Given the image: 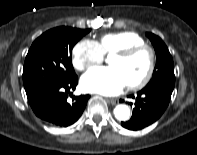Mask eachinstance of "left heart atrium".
Returning <instances> with one entry per match:
<instances>
[{
    "mask_svg": "<svg viewBox=\"0 0 197 155\" xmlns=\"http://www.w3.org/2000/svg\"><path fill=\"white\" fill-rule=\"evenodd\" d=\"M120 71L114 67H96L81 78L83 90L102 95H116L126 86Z\"/></svg>",
    "mask_w": 197,
    "mask_h": 155,
    "instance_id": "left-heart-atrium-1",
    "label": "left heart atrium"
}]
</instances>
